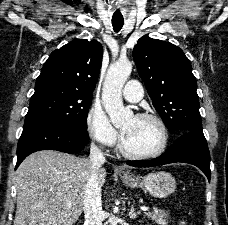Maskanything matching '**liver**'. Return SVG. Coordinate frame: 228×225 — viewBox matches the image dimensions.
Returning a JSON list of instances; mask_svg holds the SVG:
<instances>
[{
  "instance_id": "6515ba94",
  "label": "liver",
  "mask_w": 228,
  "mask_h": 225,
  "mask_svg": "<svg viewBox=\"0 0 228 225\" xmlns=\"http://www.w3.org/2000/svg\"><path fill=\"white\" fill-rule=\"evenodd\" d=\"M89 159L59 151L29 155L15 173L17 209L14 225H74L82 215ZM104 185L106 171L99 169Z\"/></svg>"
}]
</instances>
